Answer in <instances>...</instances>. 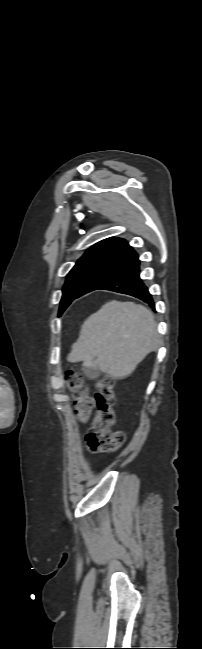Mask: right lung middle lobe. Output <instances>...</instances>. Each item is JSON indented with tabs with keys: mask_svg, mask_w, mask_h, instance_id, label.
<instances>
[{
	"mask_svg": "<svg viewBox=\"0 0 202 649\" xmlns=\"http://www.w3.org/2000/svg\"><path fill=\"white\" fill-rule=\"evenodd\" d=\"M115 257V255L111 254L94 253L86 254L77 261L76 265L67 275L63 287L59 316L78 297L87 282Z\"/></svg>",
	"mask_w": 202,
	"mask_h": 649,
	"instance_id": "dd1d6c3e",
	"label": "right lung middle lobe"
}]
</instances>
